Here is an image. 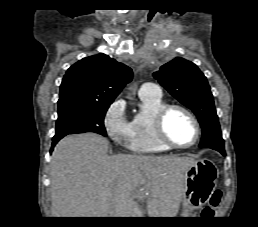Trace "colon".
<instances>
[{
  "instance_id": "obj_1",
  "label": "colon",
  "mask_w": 258,
  "mask_h": 227,
  "mask_svg": "<svg viewBox=\"0 0 258 227\" xmlns=\"http://www.w3.org/2000/svg\"><path fill=\"white\" fill-rule=\"evenodd\" d=\"M222 199V192L220 190H215L209 197L207 206L203 209V215H212L214 209L218 207Z\"/></svg>"
}]
</instances>
